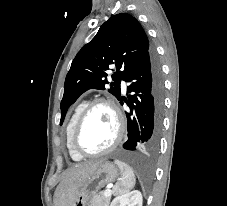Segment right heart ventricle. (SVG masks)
<instances>
[{
    "label": "right heart ventricle",
    "mask_w": 227,
    "mask_h": 206,
    "mask_svg": "<svg viewBox=\"0 0 227 206\" xmlns=\"http://www.w3.org/2000/svg\"><path fill=\"white\" fill-rule=\"evenodd\" d=\"M87 101H81L79 102L73 109L70 117H69V120H68V123L66 125V145H67V149L69 151V154L71 156V158L75 161H80L83 157L80 156L79 154H77L73 148H72V145H71V135H72V131H73V128H74V125L81 113V111L83 110V108L87 105Z\"/></svg>",
    "instance_id": "e07e8e85"
}]
</instances>
